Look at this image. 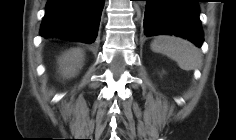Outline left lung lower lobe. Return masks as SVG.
<instances>
[{
  "label": "left lung lower lobe",
  "instance_id": "0a47b994",
  "mask_svg": "<svg viewBox=\"0 0 236 140\" xmlns=\"http://www.w3.org/2000/svg\"><path fill=\"white\" fill-rule=\"evenodd\" d=\"M198 2L199 0H147L144 34L176 35L201 47L203 31Z\"/></svg>",
  "mask_w": 236,
  "mask_h": 140
}]
</instances>
